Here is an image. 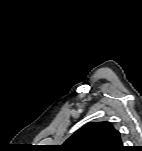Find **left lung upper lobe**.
Here are the masks:
<instances>
[{"label":"left lung upper lobe","mask_w":142,"mask_h":151,"mask_svg":"<svg viewBox=\"0 0 142 151\" xmlns=\"http://www.w3.org/2000/svg\"><path fill=\"white\" fill-rule=\"evenodd\" d=\"M69 151H123L119 131L110 122H90L62 145Z\"/></svg>","instance_id":"1"}]
</instances>
